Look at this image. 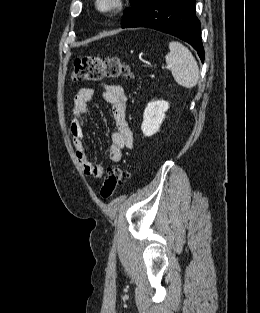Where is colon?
<instances>
[{
	"label": "colon",
	"mask_w": 260,
	"mask_h": 313,
	"mask_svg": "<svg viewBox=\"0 0 260 313\" xmlns=\"http://www.w3.org/2000/svg\"><path fill=\"white\" fill-rule=\"evenodd\" d=\"M121 77L131 78L133 73L130 66L119 58L80 57L74 61L72 78L75 81L114 80ZM128 177L127 168H112L101 186V197L109 199Z\"/></svg>",
	"instance_id": "colon-1"
}]
</instances>
